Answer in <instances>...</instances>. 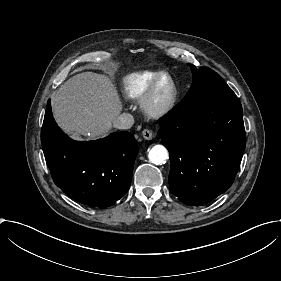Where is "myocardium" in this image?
Instances as JSON below:
<instances>
[{"mask_svg": "<svg viewBox=\"0 0 281 281\" xmlns=\"http://www.w3.org/2000/svg\"><path fill=\"white\" fill-rule=\"evenodd\" d=\"M171 83V91L164 101H159L156 97L157 89L164 80ZM177 84L172 75L161 73L147 88L141 98L140 106L144 114L151 118H159L167 115L174 107L177 99Z\"/></svg>", "mask_w": 281, "mask_h": 281, "instance_id": "1", "label": "myocardium"}]
</instances>
